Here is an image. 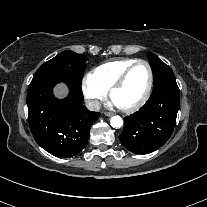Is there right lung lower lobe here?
Here are the masks:
<instances>
[{
  "label": "right lung lower lobe",
  "mask_w": 207,
  "mask_h": 207,
  "mask_svg": "<svg viewBox=\"0 0 207 207\" xmlns=\"http://www.w3.org/2000/svg\"><path fill=\"white\" fill-rule=\"evenodd\" d=\"M58 82L53 78L31 81L27 93L30 130L36 142L51 154L72 157L85 147L91 125L100 113L89 111L82 105L81 88L68 82L69 95L57 99L53 87Z\"/></svg>",
  "instance_id": "1"
}]
</instances>
